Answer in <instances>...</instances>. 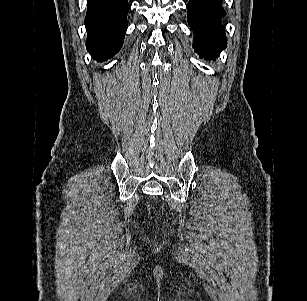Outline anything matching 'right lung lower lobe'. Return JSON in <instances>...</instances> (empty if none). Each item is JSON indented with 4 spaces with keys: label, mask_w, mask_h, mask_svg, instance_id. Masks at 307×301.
<instances>
[{
    "label": "right lung lower lobe",
    "mask_w": 307,
    "mask_h": 301,
    "mask_svg": "<svg viewBox=\"0 0 307 301\" xmlns=\"http://www.w3.org/2000/svg\"><path fill=\"white\" fill-rule=\"evenodd\" d=\"M128 10V0H87L86 47L98 62L112 58L122 47Z\"/></svg>",
    "instance_id": "1"
}]
</instances>
